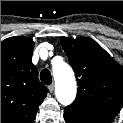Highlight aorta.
Here are the masks:
<instances>
[{"label":"aorta","instance_id":"obj_1","mask_svg":"<svg viewBox=\"0 0 123 123\" xmlns=\"http://www.w3.org/2000/svg\"><path fill=\"white\" fill-rule=\"evenodd\" d=\"M55 79V94L57 100L64 106L71 104L76 97V81L72 68L65 62L53 65Z\"/></svg>","mask_w":123,"mask_h":123}]
</instances>
